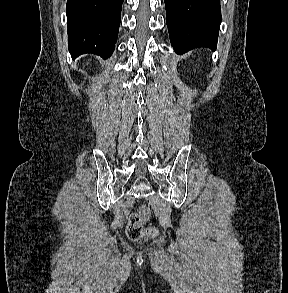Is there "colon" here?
Instances as JSON below:
<instances>
[{"mask_svg": "<svg viewBox=\"0 0 288 293\" xmlns=\"http://www.w3.org/2000/svg\"><path fill=\"white\" fill-rule=\"evenodd\" d=\"M150 217V210L147 206H140L136 212L129 217L126 234L133 241H145L156 236L154 228L145 227V222Z\"/></svg>", "mask_w": 288, "mask_h": 293, "instance_id": "1", "label": "colon"}]
</instances>
